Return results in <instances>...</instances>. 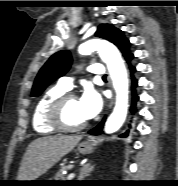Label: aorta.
Instances as JSON below:
<instances>
[{"mask_svg":"<svg viewBox=\"0 0 178 186\" xmlns=\"http://www.w3.org/2000/svg\"><path fill=\"white\" fill-rule=\"evenodd\" d=\"M98 51L102 60L107 64L110 77L116 92V103L112 114L106 121L104 131L111 134L123 125L128 110V75L124 62L117 48L101 39H92L80 45L78 52L89 55Z\"/></svg>","mask_w":178,"mask_h":186,"instance_id":"obj_1","label":"aorta"}]
</instances>
